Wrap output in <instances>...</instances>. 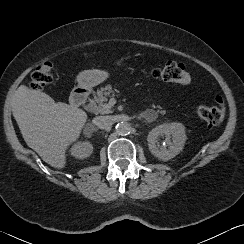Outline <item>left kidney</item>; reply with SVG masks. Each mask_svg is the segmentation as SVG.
I'll list each match as a JSON object with an SVG mask.
<instances>
[{
  "mask_svg": "<svg viewBox=\"0 0 244 244\" xmlns=\"http://www.w3.org/2000/svg\"><path fill=\"white\" fill-rule=\"evenodd\" d=\"M163 135L166 137L168 149L157 145L160 136ZM186 140L185 126L179 122L156 126L147 136L150 152L162 161H168L178 155L183 150Z\"/></svg>",
  "mask_w": 244,
  "mask_h": 244,
  "instance_id": "left-kidney-1",
  "label": "left kidney"
}]
</instances>
